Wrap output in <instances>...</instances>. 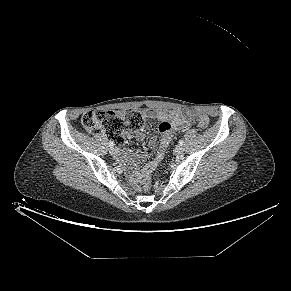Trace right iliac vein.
<instances>
[{
	"label": "right iliac vein",
	"instance_id": "right-iliac-vein-1",
	"mask_svg": "<svg viewBox=\"0 0 291 291\" xmlns=\"http://www.w3.org/2000/svg\"><path fill=\"white\" fill-rule=\"evenodd\" d=\"M109 152H110L111 155H116L117 154V149L116 148H111Z\"/></svg>",
	"mask_w": 291,
	"mask_h": 291
}]
</instances>
